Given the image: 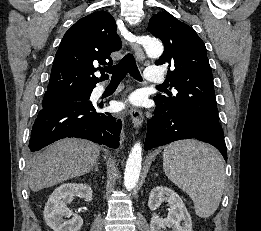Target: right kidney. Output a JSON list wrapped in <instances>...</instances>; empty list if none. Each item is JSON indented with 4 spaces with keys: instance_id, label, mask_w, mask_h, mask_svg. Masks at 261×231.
Wrapping results in <instances>:
<instances>
[{
    "instance_id": "right-kidney-1",
    "label": "right kidney",
    "mask_w": 261,
    "mask_h": 231,
    "mask_svg": "<svg viewBox=\"0 0 261 231\" xmlns=\"http://www.w3.org/2000/svg\"><path fill=\"white\" fill-rule=\"evenodd\" d=\"M74 196H81L85 201H92V189L87 184L65 183L56 188L50 195L45 209L46 224L54 231H79L83 225L82 218L70 211L67 204ZM63 217L70 218L67 221Z\"/></svg>"
}]
</instances>
